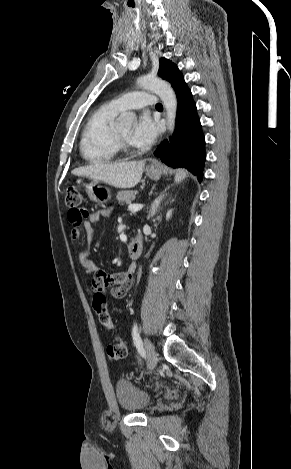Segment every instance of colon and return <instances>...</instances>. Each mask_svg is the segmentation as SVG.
Segmentation results:
<instances>
[{
	"label": "colon",
	"mask_w": 291,
	"mask_h": 469,
	"mask_svg": "<svg viewBox=\"0 0 291 469\" xmlns=\"http://www.w3.org/2000/svg\"><path fill=\"white\" fill-rule=\"evenodd\" d=\"M66 204L70 211L76 212L82 217L87 211L81 208L82 196L75 187H69L66 192ZM109 295L107 293H96L93 300V308L96 311L99 321L103 327L109 331H114V324L107 309V301ZM128 349L126 343L119 337H115V341L107 346V354L114 360H122L127 356Z\"/></svg>",
	"instance_id": "colon-1"
}]
</instances>
